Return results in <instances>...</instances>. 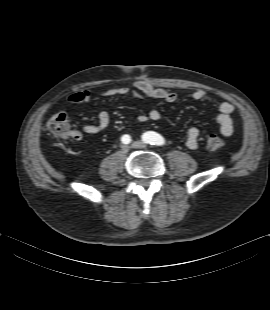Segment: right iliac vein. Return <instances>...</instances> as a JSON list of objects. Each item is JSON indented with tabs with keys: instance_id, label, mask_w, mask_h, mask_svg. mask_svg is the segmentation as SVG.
Instances as JSON below:
<instances>
[{
	"instance_id": "1",
	"label": "right iliac vein",
	"mask_w": 270,
	"mask_h": 310,
	"mask_svg": "<svg viewBox=\"0 0 270 310\" xmlns=\"http://www.w3.org/2000/svg\"><path fill=\"white\" fill-rule=\"evenodd\" d=\"M121 151H122V153H127V152L129 151V146L123 145V146L121 147Z\"/></svg>"
}]
</instances>
